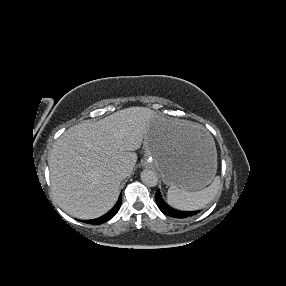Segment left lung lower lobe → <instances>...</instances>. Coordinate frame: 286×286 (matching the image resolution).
<instances>
[{"label": "left lung lower lobe", "instance_id": "left-lung-lower-lobe-1", "mask_svg": "<svg viewBox=\"0 0 286 286\" xmlns=\"http://www.w3.org/2000/svg\"><path fill=\"white\" fill-rule=\"evenodd\" d=\"M156 202H157V205L159 207V209L166 215L168 216H171V217H174V218H186L188 216H192L196 213H193V212H182V211H178V210H175L171 207H169L162 199L161 197V194H160V191L158 190L156 195Z\"/></svg>", "mask_w": 286, "mask_h": 286}]
</instances>
